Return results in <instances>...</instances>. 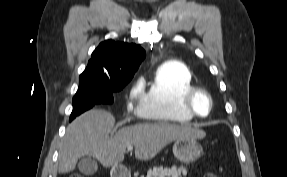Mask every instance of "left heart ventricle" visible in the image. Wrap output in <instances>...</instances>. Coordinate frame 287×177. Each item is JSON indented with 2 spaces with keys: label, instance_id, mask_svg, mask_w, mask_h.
<instances>
[{
  "label": "left heart ventricle",
  "instance_id": "left-heart-ventricle-1",
  "mask_svg": "<svg viewBox=\"0 0 287 177\" xmlns=\"http://www.w3.org/2000/svg\"><path fill=\"white\" fill-rule=\"evenodd\" d=\"M194 106L201 115H206L209 109L208 99L205 95L200 94L194 100Z\"/></svg>",
  "mask_w": 287,
  "mask_h": 177
}]
</instances>
